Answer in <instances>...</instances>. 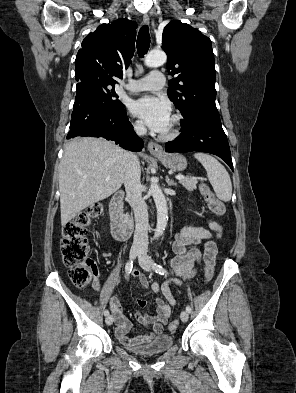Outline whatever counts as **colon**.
I'll use <instances>...</instances> for the list:
<instances>
[{
	"instance_id": "1",
	"label": "colon",
	"mask_w": 296,
	"mask_h": 393,
	"mask_svg": "<svg viewBox=\"0 0 296 393\" xmlns=\"http://www.w3.org/2000/svg\"><path fill=\"white\" fill-rule=\"evenodd\" d=\"M200 192L213 214L217 216L225 214L226 207L224 203L213 195L205 183L200 184ZM101 211L102 207L100 204H92L68 221L62 230V259L64 264L70 269L71 281L80 288L89 285L96 273V266L88 258L87 234L91 222L101 214ZM213 275L214 264L207 262L204 268L205 281L209 282ZM177 326L178 322L173 321L169 324V329L174 331Z\"/></svg>"
}]
</instances>
